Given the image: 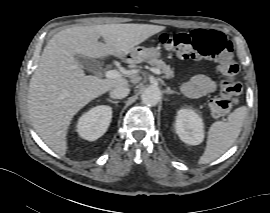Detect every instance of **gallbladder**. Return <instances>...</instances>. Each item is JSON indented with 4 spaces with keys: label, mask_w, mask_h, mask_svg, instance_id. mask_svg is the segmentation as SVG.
Segmentation results:
<instances>
[{
    "label": "gallbladder",
    "mask_w": 270,
    "mask_h": 213,
    "mask_svg": "<svg viewBox=\"0 0 270 213\" xmlns=\"http://www.w3.org/2000/svg\"><path fill=\"white\" fill-rule=\"evenodd\" d=\"M75 59L78 61V63L80 64L82 68L92 71V72H95L101 66V63L98 60L88 58L82 55H76Z\"/></svg>",
    "instance_id": "obj_1"
}]
</instances>
